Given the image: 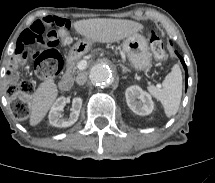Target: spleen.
<instances>
[{"label": "spleen", "mask_w": 215, "mask_h": 183, "mask_svg": "<svg viewBox=\"0 0 215 183\" xmlns=\"http://www.w3.org/2000/svg\"><path fill=\"white\" fill-rule=\"evenodd\" d=\"M149 93L164 107L167 117L175 115L179 109L182 96V73L178 64L172 67L161 85L148 86Z\"/></svg>", "instance_id": "obj_1"}]
</instances>
